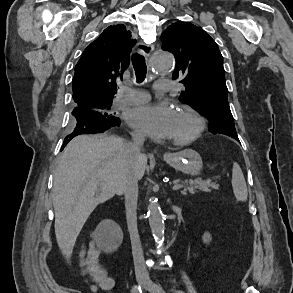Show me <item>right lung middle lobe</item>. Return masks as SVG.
I'll return each instance as SVG.
<instances>
[{
	"label": "right lung middle lobe",
	"mask_w": 293,
	"mask_h": 293,
	"mask_svg": "<svg viewBox=\"0 0 293 293\" xmlns=\"http://www.w3.org/2000/svg\"><path fill=\"white\" fill-rule=\"evenodd\" d=\"M97 109L95 111L103 113L105 116H114L116 113L111 109V100H100L95 102Z\"/></svg>",
	"instance_id": "dd1d6c3e"
}]
</instances>
